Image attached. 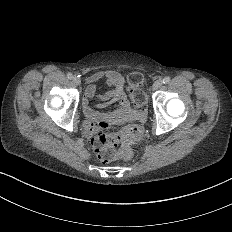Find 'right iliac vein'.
<instances>
[{
	"instance_id": "right-iliac-vein-1",
	"label": "right iliac vein",
	"mask_w": 232,
	"mask_h": 232,
	"mask_svg": "<svg viewBox=\"0 0 232 232\" xmlns=\"http://www.w3.org/2000/svg\"><path fill=\"white\" fill-rule=\"evenodd\" d=\"M73 82L75 85H80L81 84V79L79 76H74L73 77Z\"/></svg>"
}]
</instances>
